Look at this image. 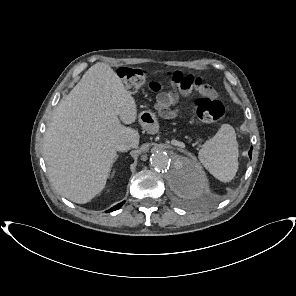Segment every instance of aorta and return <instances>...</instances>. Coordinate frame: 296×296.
I'll use <instances>...</instances> for the list:
<instances>
[{"label": "aorta", "mask_w": 296, "mask_h": 296, "mask_svg": "<svg viewBox=\"0 0 296 296\" xmlns=\"http://www.w3.org/2000/svg\"><path fill=\"white\" fill-rule=\"evenodd\" d=\"M150 163L155 171L167 176L171 186L177 190L199 193L204 187L203 176L199 168L188 157L157 150L152 153Z\"/></svg>", "instance_id": "obj_1"}]
</instances>
